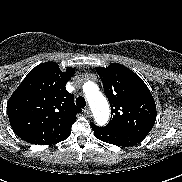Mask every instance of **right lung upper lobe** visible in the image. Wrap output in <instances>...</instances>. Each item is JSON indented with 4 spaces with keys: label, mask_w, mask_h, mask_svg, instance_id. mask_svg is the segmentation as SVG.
<instances>
[{
    "label": "right lung upper lobe",
    "mask_w": 182,
    "mask_h": 182,
    "mask_svg": "<svg viewBox=\"0 0 182 182\" xmlns=\"http://www.w3.org/2000/svg\"><path fill=\"white\" fill-rule=\"evenodd\" d=\"M75 73L65 72L55 62L32 69L7 102V114L13 131L31 144H54L70 136L76 114L74 95L66 83Z\"/></svg>",
    "instance_id": "cb5924a9"
}]
</instances>
